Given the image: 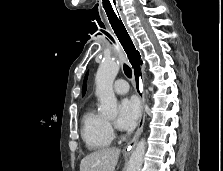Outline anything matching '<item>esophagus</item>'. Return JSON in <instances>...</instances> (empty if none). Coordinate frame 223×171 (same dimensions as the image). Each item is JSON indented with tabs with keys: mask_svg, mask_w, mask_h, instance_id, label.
<instances>
[{
	"mask_svg": "<svg viewBox=\"0 0 223 171\" xmlns=\"http://www.w3.org/2000/svg\"><path fill=\"white\" fill-rule=\"evenodd\" d=\"M106 12L111 23L110 28L115 31L116 36L118 37L126 52L127 60H129L130 64L132 65L135 91L141 100V112L138 122V128L133 138L124 149V151L128 152L135 147L142 133L145 122V92L143 85L144 60L141 52L137 48L136 41H133L130 31L127 30V27L125 26L123 13H109L110 11L107 9Z\"/></svg>",
	"mask_w": 223,
	"mask_h": 171,
	"instance_id": "esophagus-1",
	"label": "esophagus"
}]
</instances>
